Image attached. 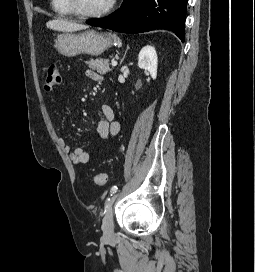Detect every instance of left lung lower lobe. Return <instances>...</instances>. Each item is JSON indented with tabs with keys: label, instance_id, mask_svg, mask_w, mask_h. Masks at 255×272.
Wrapping results in <instances>:
<instances>
[{
	"label": "left lung lower lobe",
	"instance_id": "obj_1",
	"mask_svg": "<svg viewBox=\"0 0 255 272\" xmlns=\"http://www.w3.org/2000/svg\"><path fill=\"white\" fill-rule=\"evenodd\" d=\"M188 0H124L110 16L86 21L87 24L123 33L156 29L174 32L184 42Z\"/></svg>",
	"mask_w": 255,
	"mask_h": 272
}]
</instances>
